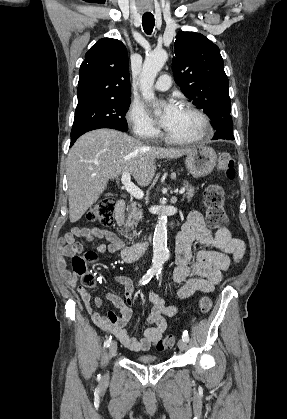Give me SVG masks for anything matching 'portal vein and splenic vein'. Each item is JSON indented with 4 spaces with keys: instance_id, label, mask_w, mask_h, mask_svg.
<instances>
[{
    "instance_id": "obj_1",
    "label": "portal vein and splenic vein",
    "mask_w": 287,
    "mask_h": 419,
    "mask_svg": "<svg viewBox=\"0 0 287 419\" xmlns=\"http://www.w3.org/2000/svg\"><path fill=\"white\" fill-rule=\"evenodd\" d=\"M121 182L126 189V191L137 199H142L144 197L143 191L138 188L133 182H131V174L129 172H125L122 174ZM185 192V188H181L179 190V194H183Z\"/></svg>"
}]
</instances>
